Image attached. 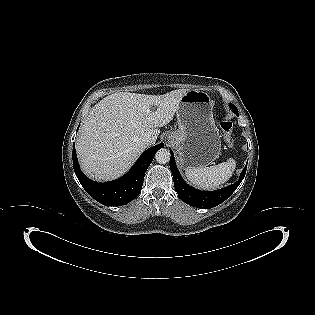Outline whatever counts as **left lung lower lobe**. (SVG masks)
I'll use <instances>...</instances> for the list:
<instances>
[{
	"instance_id": "left-lung-lower-lobe-1",
	"label": "left lung lower lobe",
	"mask_w": 315,
	"mask_h": 315,
	"mask_svg": "<svg viewBox=\"0 0 315 315\" xmlns=\"http://www.w3.org/2000/svg\"><path fill=\"white\" fill-rule=\"evenodd\" d=\"M170 152L171 158L169 164L171 172L173 174L175 190L182 201L197 208H213L229 198L243 180L247 169L246 165L241 172L239 180L230 186L216 191H201L189 186L182 179L175 164L174 154L172 151Z\"/></svg>"
}]
</instances>
